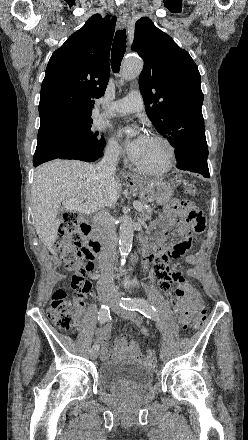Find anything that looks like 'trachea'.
Returning a JSON list of instances; mask_svg holds the SVG:
<instances>
[{
  "label": "trachea",
  "mask_w": 248,
  "mask_h": 440,
  "mask_svg": "<svg viewBox=\"0 0 248 440\" xmlns=\"http://www.w3.org/2000/svg\"><path fill=\"white\" fill-rule=\"evenodd\" d=\"M126 49V31L125 29L116 32L111 50V67L115 73L120 70L122 58Z\"/></svg>",
  "instance_id": "1"
}]
</instances>
